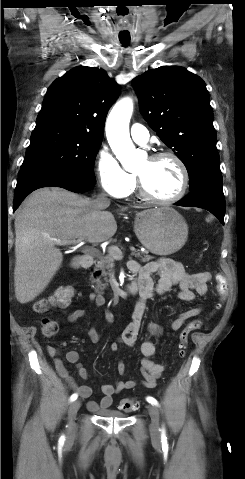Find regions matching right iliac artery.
<instances>
[{"label":"right iliac artery","mask_w":245,"mask_h":479,"mask_svg":"<svg viewBox=\"0 0 245 479\" xmlns=\"http://www.w3.org/2000/svg\"><path fill=\"white\" fill-rule=\"evenodd\" d=\"M78 398V395L76 393L72 394L70 397V402L75 401Z\"/></svg>","instance_id":"right-iliac-artery-1"}]
</instances>
